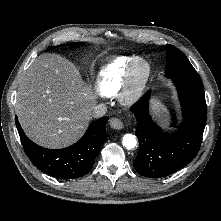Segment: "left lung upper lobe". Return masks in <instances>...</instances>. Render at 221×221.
<instances>
[{
  "instance_id": "1",
  "label": "left lung upper lobe",
  "mask_w": 221,
  "mask_h": 221,
  "mask_svg": "<svg viewBox=\"0 0 221 221\" xmlns=\"http://www.w3.org/2000/svg\"><path fill=\"white\" fill-rule=\"evenodd\" d=\"M167 63L165 73L172 77L183 72L196 71L189 60L173 45L166 46Z\"/></svg>"
}]
</instances>
